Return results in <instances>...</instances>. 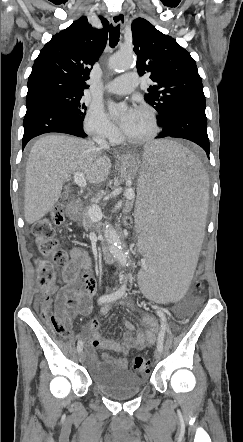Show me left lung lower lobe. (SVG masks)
<instances>
[{
  "label": "left lung lower lobe",
  "mask_w": 243,
  "mask_h": 442,
  "mask_svg": "<svg viewBox=\"0 0 243 442\" xmlns=\"http://www.w3.org/2000/svg\"><path fill=\"white\" fill-rule=\"evenodd\" d=\"M205 107V96H190L180 100L159 124L163 130L156 138L175 137L190 140L201 146L209 158Z\"/></svg>",
  "instance_id": "left-lung-lower-lobe-1"
}]
</instances>
